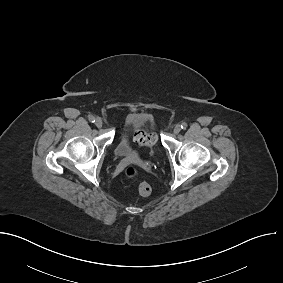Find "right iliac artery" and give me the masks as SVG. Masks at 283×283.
Here are the masks:
<instances>
[{
	"label": "right iliac artery",
	"mask_w": 283,
	"mask_h": 283,
	"mask_svg": "<svg viewBox=\"0 0 283 283\" xmlns=\"http://www.w3.org/2000/svg\"><path fill=\"white\" fill-rule=\"evenodd\" d=\"M88 119H89V121L92 122V123L95 122V117L92 116V115H90Z\"/></svg>",
	"instance_id": "82829eb1"
}]
</instances>
